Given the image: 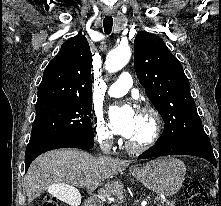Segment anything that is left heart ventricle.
Listing matches in <instances>:
<instances>
[{
  "label": "left heart ventricle",
  "mask_w": 221,
  "mask_h": 206,
  "mask_svg": "<svg viewBox=\"0 0 221 206\" xmlns=\"http://www.w3.org/2000/svg\"><path fill=\"white\" fill-rule=\"evenodd\" d=\"M150 132V119L145 115L138 114L135 130L129 140L133 143H141L148 138Z\"/></svg>",
  "instance_id": "1"
}]
</instances>
